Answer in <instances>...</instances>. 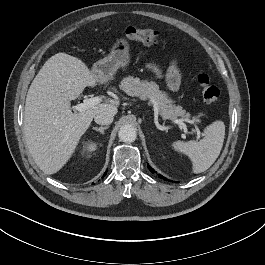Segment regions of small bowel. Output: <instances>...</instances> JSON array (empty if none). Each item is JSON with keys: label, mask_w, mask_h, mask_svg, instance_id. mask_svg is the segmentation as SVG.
<instances>
[{"label": "small bowel", "mask_w": 265, "mask_h": 265, "mask_svg": "<svg viewBox=\"0 0 265 265\" xmlns=\"http://www.w3.org/2000/svg\"><path fill=\"white\" fill-rule=\"evenodd\" d=\"M148 67L157 75L161 76L162 73L160 69L155 64H149ZM165 79L167 82L168 87L172 91H177L180 85V73L177 67V64L173 62L168 71L165 74Z\"/></svg>", "instance_id": "1"}]
</instances>
